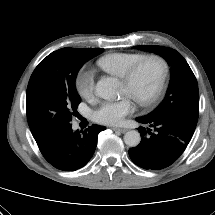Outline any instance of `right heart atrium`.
I'll return each instance as SVG.
<instances>
[{"mask_svg": "<svg viewBox=\"0 0 215 215\" xmlns=\"http://www.w3.org/2000/svg\"><path fill=\"white\" fill-rule=\"evenodd\" d=\"M79 95L85 99H90L94 92V77L91 71H81L75 81Z\"/></svg>", "mask_w": 215, "mask_h": 215, "instance_id": "right-heart-atrium-1", "label": "right heart atrium"}]
</instances>
